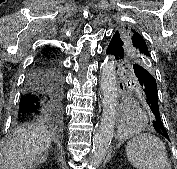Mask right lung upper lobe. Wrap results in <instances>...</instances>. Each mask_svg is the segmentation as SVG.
<instances>
[{"instance_id":"1","label":"right lung upper lobe","mask_w":177,"mask_h":169,"mask_svg":"<svg viewBox=\"0 0 177 169\" xmlns=\"http://www.w3.org/2000/svg\"><path fill=\"white\" fill-rule=\"evenodd\" d=\"M54 50V49H53ZM44 52H47L48 54L52 55L50 51H47V49H44ZM54 56V55H53ZM55 57V56H54Z\"/></svg>"}]
</instances>
